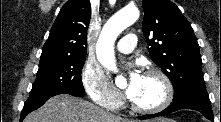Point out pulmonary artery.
Returning a JSON list of instances; mask_svg holds the SVG:
<instances>
[{"instance_id": "e3ab8cb5", "label": "pulmonary artery", "mask_w": 221, "mask_h": 122, "mask_svg": "<svg viewBox=\"0 0 221 122\" xmlns=\"http://www.w3.org/2000/svg\"><path fill=\"white\" fill-rule=\"evenodd\" d=\"M137 45V36L133 33L127 34L117 43V50L121 53H131Z\"/></svg>"}]
</instances>
